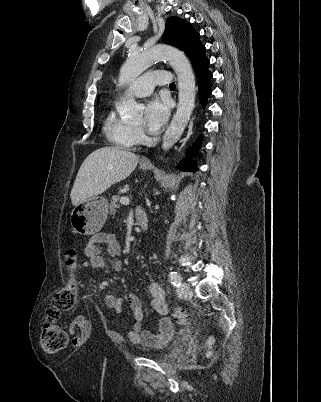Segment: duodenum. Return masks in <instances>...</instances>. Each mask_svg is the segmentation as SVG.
Segmentation results:
<instances>
[{
    "mask_svg": "<svg viewBox=\"0 0 321 402\" xmlns=\"http://www.w3.org/2000/svg\"><path fill=\"white\" fill-rule=\"evenodd\" d=\"M135 219L141 231H145L148 228V216L145 210L137 209L135 211Z\"/></svg>",
    "mask_w": 321,
    "mask_h": 402,
    "instance_id": "410a0bca",
    "label": "duodenum"
}]
</instances>
